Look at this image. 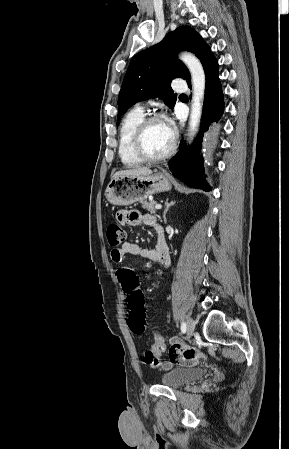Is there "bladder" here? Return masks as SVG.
<instances>
[{
	"mask_svg": "<svg viewBox=\"0 0 289 449\" xmlns=\"http://www.w3.org/2000/svg\"><path fill=\"white\" fill-rule=\"evenodd\" d=\"M205 373L202 368H175L165 373L161 382L167 387L179 388L201 379Z\"/></svg>",
	"mask_w": 289,
	"mask_h": 449,
	"instance_id": "obj_1",
	"label": "bladder"
}]
</instances>
